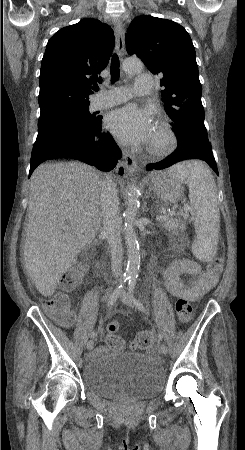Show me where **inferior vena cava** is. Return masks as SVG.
I'll return each instance as SVG.
<instances>
[{
	"instance_id": "602c4592",
	"label": "inferior vena cava",
	"mask_w": 245,
	"mask_h": 450,
	"mask_svg": "<svg viewBox=\"0 0 245 450\" xmlns=\"http://www.w3.org/2000/svg\"><path fill=\"white\" fill-rule=\"evenodd\" d=\"M100 204L103 217V233L111 249V270L114 278L119 280L122 273V242L120 237L121 217L116 185L110 176L101 184Z\"/></svg>"
}]
</instances>
